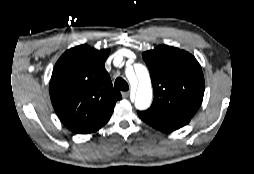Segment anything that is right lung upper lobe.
Wrapping results in <instances>:
<instances>
[{
	"label": "right lung upper lobe",
	"mask_w": 254,
	"mask_h": 174,
	"mask_svg": "<svg viewBox=\"0 0 254 174\" xmlns=\"http://www.w3.org/2000/svg\"><path fill=\"white\" fill-rule=\"evenodd\" d=\"M109 49L80 45L57 61L50 97L61 122L75 133H84L109 119L120 92L113 88L104 64Z\"/></svg>",
	"instance_id": "1"
}]
</instances>
